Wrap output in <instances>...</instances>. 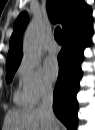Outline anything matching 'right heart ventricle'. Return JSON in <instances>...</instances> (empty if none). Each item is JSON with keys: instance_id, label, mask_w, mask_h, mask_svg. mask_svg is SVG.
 <instances>
[{"instance_id": "1", "label": "right heart ventricle", "mask_w": 95, "mask_h": 130, "mask_svg": "<svg viewBox=\"0 0 95 130\" xmlns=\"http://www.w3.org/2000/svg\"><path fill=\"white\" fill-rule=\"evenodd\" d=\"M14 100L20 106H28L31 104L24 90H17L14 94Z\"/></svg>"}]
</instances>
